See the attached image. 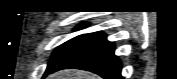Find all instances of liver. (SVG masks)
<instances>
[{"label": "liver", "instance_id": "1", "mask_svg": "<svg viewBox=\"0 0 177 79\" xmlns=\"http://www.w3.org/2000/svg\"><path fill=\"white\" fill-rule=\"evenodd\" d=\"M48 79H98V76L82 70L66 69L50 75Z\"/></svg>", "mask_w": 177, "mask_h": 79}]
</instances>
